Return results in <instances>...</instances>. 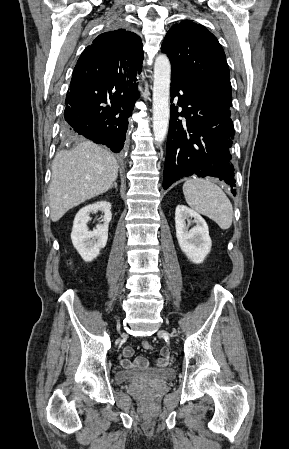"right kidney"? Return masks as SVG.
Returning a JSON list of instances; mask_svg holds the SVG:
<instances>
[{
  "instance_id": "obj_1",
  "label": "right kidney",
  "mask_w": 289,
  "mask_h": 449,
  "mask_svg": "<svg viewBox=\"0 0 289 449\" xmlns=\"http://www.w3.org/2000/svg\"><path fill=\"white\" fill-rule=\"evenodd\" d=\"M102 212L104 214L103 224H98L96 229L89 231L87 223L90 213ZM111 204L106 201L87 205L79 210L73 222L71 240L82 259L91 262L106 246L108 240V226L111 221Z\"/></svg>"
}]
</instances>
